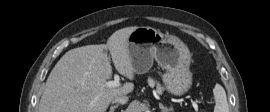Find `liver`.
I'll return each instance as SVG.
<instances>
[{"label": "liver", "mask_w": 270, "mask_h": 112, "mask_svg": "<svg viewBox=\"0 0 270 112\" xmlns=\"http://www.w3.org/2000/svg\"><path fill=\"white\" fill-rule=\"evenodd\" d=\"M138 27L115 31L107 44L87 45L71 49L57 62L49 74L40 99L39 112H105L115 96H126L134 84L108 87L112 67L108 49L116 70L134 79L129 54V36Z\"/></svg>", "instance_id": "6515ba94"}]
</instances>
